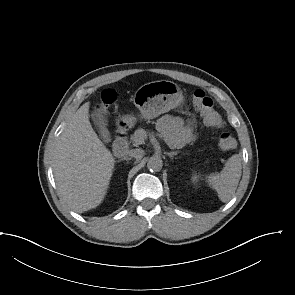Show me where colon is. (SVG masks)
Instances as JSON below:
<instances>
[{
    "label": "colon",
    "mask_w": 295,
    "mask_h": 295,
    "mask_svg": "<svg viewBox=\"0 0 295 295\" xmlns=\"http://www.w3.org/2000/svg\"><path fill=\"white\" fill-rule=\"evenodd\" d=\"M116 99V93L112 89L104 90L100 95L102 108L108 107ZM192 102L200 112L205 124L211 128L220 129L223 120L215 110L212 99L202 90H196L192 95ZM219 146L222 150H232L236 147V140L229 132H221L218 138Z\"/></svg>",
    "instance_id": "colon-1"
}]
</instances>
